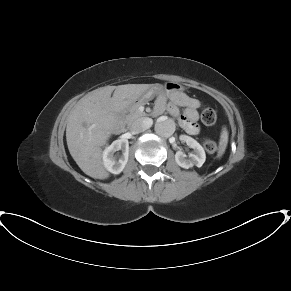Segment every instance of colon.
I'll list each match as a JSON object with an SVG mask.
<instances>
[{"label":"colon","mask_w":291,"mask_h":291,"mask_svg":"<svg viewBox=\"0 0 291 291\" xmlns=\"http://www.w3.org/2000/svg\"><path fill=\"white\" fill-rule=\"evenodd\" d=\"M201 121L206 126H212L217 121V114L216 111L212 108H206L201 112ZM204 148L208 153H214L217 150V144L210 140L205 139L204 140Z\"/></svg>","instance_id":"1"}]
</instances>
